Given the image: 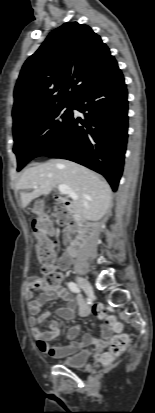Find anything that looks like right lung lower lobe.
Segmentation results:
<instances>
[{
  "instance_id": "right-lung-lower-lobe-1",
  "label": "right lung lower lobe",
  "mask_w": 155,
  "mask_h": 413,
  "mask_svg": "<svg viewBox=\"0 0 155 413\" xmlns=\"http://www.w3.org/2000/svg\"><path fill=\"white\" fill-rule=\"evenodd\" d=\"M72 106L83 117L72 114L60 136L41 155L82 164L105 176L116 191L128 129L127 89L118 66L85 88Z\"/></svg>"
}]
</instances>
